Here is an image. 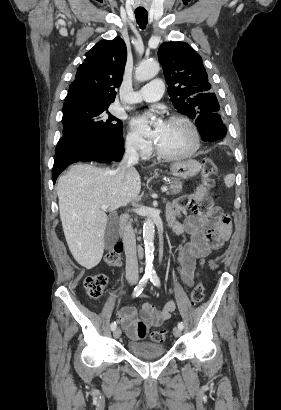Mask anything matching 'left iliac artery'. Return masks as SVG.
<instances>
[{
    "mask_svg": "<svg viewBox=\"0 0 281 410\" xmlns=\"http://www.w3.org/2000/svg\"><path fill=\"white\" fill-rule=\"evenodd\" d=\"M150 281L153 283L154 286L160 287V279H159V277L157 276V274L155 272H152L150 274ZM178 327L180 329H183V327H184L183 323L179 322Z\"/></svg>",
    "mask_w": 281,
    "mask_h": 410,
    "instance_id": "44dca946",
    "label": "left iliac artery"
}]
</instances>
